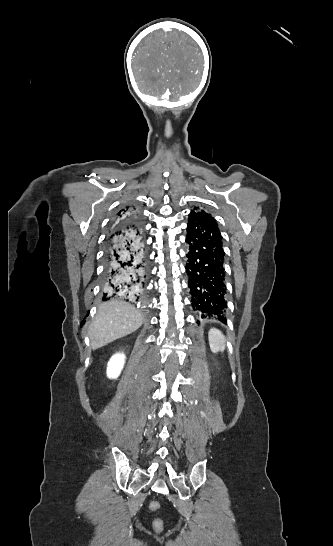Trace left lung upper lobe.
<instances>
[{
    "label": "left lung upper lobe",
    "instance_id": "5c2ea615",
    "mask_svg": "<svg viewBox=\"0 0 333 546\" xmlns=\"http://www.w3.org/2000/svg\"><path fill=\"white\" fill-rule=\"evenodd\" d=\"M191 214L192 215H198V216L205 217V218H212L211 215L209 213L205 212V211L195 212L194 210H192Z\"/></svg>",
    "mask_w": 333,
    "mask_h": 546
}]
</instances>
